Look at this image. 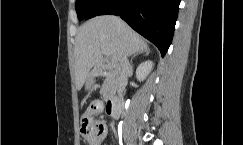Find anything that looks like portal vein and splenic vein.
Wrapping results in <instances>:
<instances>
[{
  "mask_svg": "<svg viewBox=\"0 0 243 145\" xmlns=\"http://www.w3.org/2000/svg\"><path fill=\"white\" fill-rule=\"evenodd\" d=\"M102 51H103V53H104L106 56H110V55H111L110 51H109L108 49L104 48V47H102Z\"/></svg>",
  "mask_w": 243,
  "mask_h": 145,
  "instance_id": "18ae733b",
  "label": "portal vein and splenic vein"
}]
</instances>
